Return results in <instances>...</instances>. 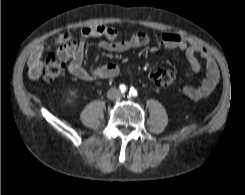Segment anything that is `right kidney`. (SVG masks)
Masks as SVG:
<instances>
[{"label": "right kidney", "mask_w": 245, "mask_h": 195, "mask_svg": "<svg viewBox=\"0 0 245 195\" xmlns=\"http://www.w3.org/2000/svg\"><path fill=\"white\" fill-rule=\"evenodd\" d=\"M73 96V93L70 94L69 99Z\"/></svg>", "instance_id": "1"}]
</instances>
